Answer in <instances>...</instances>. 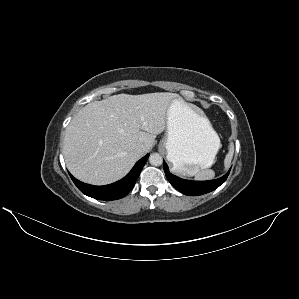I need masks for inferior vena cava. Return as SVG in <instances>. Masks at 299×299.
<instances>
[{
  "label": "inferior vena cava",
  "instance_id": "602c4592",
  "mask_svg": "<svg viewBox=\"0 0 299 299\" xmlns=\"http://www.w3.org/2000/svg\"><path fill=\"white\" fill-rule=\"evenodd\" d=\"M135 151L137 153H143L144 152V146L142 144H138L136 147H135Z\"/></svg>",
  "mask_w": 299,
  "mask_h": 299
}]
</instances>
